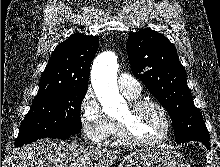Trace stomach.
I'll use <instances>...</instances> for the list:
<instances>
[{"label": "stomach", "instance_id": "1", "mask_svg": "<svg viewBox=\"0 0 220 167\" xmlns=\"http://www.w3.org/2000/svg\"><path fill=\"white\" fill-rule=\"evenodd\" d=\"M120 167H190L183 154L168 147L141 149L130 153Z\"/></svg>", "mask_w": 220, "mask_h": 167}]
</instances>
